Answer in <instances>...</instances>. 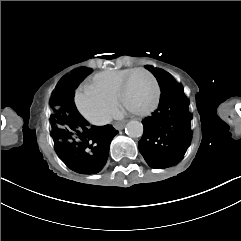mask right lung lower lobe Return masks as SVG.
Returning <instances> with one entry per match:
<instances>
[{"instance_id":"98d812e1","label":"right lung lower lobe","mask_w":241,"mask_h":241,"mask_svg":"<svg viewBox=\"0 0 241 241\" xmlns=\"http://www.w3.org/2000/svg\"><path fill=\"white\" fill-rule=\"evenodd\" d=\"M90 70L80 69L65 78L67 90L73 97L65 100L69 120L74 130L71 140L55 139V150L60 159L71 170L82 174H95L106 164L112 139L118 133L111 125L90 126L74 104V90Z\"/></svg>"}]
</instances>
